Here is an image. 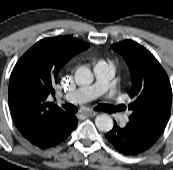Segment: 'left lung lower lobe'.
I'll use <instances>...</instances> for the list:
<instances>
[{"label":"left lung lower lobe","instance_id":"obj_1","mask_svg":"<svg viewBox=\"0 0 173 170\" xmlns=\"http://www.w3.org/2000/svg\"><path fill=\"white\" fill-rule=\"evenodd\" d=\"M105 137L124 155L143 153L156 142L149 133L129 123L123 128L115 123L113 129Z\"/></svg>","mask_w":173,"mask_h":170}]
</instances>
